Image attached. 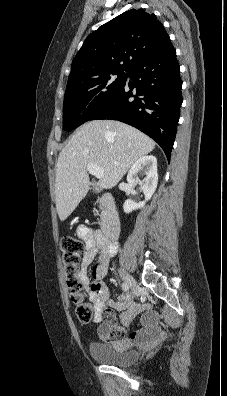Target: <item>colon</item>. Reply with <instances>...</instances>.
<instances>
[{"label": "colon", "instance_id": "colon-1", "mask_svg": "<svg viewBox=\"0 0 227 396\" xmlns=\"http://www.w3.org/2000/svg\"><path fill=\"white\" fill-rule=\"evenodd\" d=\"M82 240L66 236L61 241V260L66 278V286L76 305V316L82 323H89L94 315V306L85 301L83 283L78 277V265L84 251Z\"/></svg>", "mask_w": 227, "mask_h": 396}]
</instances>
